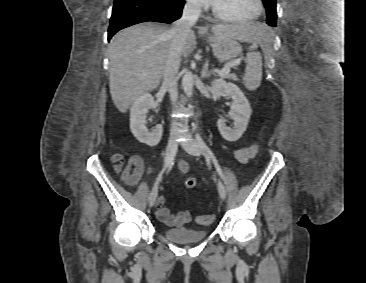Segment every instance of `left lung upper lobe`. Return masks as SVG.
I'll list each match as a JSON object with an SVG mask.
<instances>
[{
    "instance_id": "obj_1",
    "label": "left lung upper lobe",
    "mask_w": 366,
    "mask_h": 283,
    "mask_svg": "<svg viewBox=\"0 0 366 283\" xmlns=\"http://www.w3.org/2000/svg\"><path fill=\"white\" fill-rule=\"evenodd\" d=\"M267 13V24L270 26H276L277 13H276V0H262Z\"/></svg>"
}]
</instances>
